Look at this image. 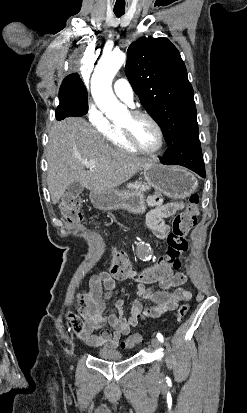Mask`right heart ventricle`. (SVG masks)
<instances>
[{"label":"right heart ventricle","mask_w":247,"mask_h":413,"mask_svg":"<svg viewBox=\"0 0 247 413\" xmlns=\"http://www.w3.org/2000/svg\"><path fill=\"white\" fill-rule=\"evenodd\" d=\"M105 138L111 141L112 145H117V151H122L125 154H139L140 152L130 146L123 137L122 131L119 127L110 129L109 133H105Z\"/></svg>","instance_id":"e07e8e85"}]
</instances>
